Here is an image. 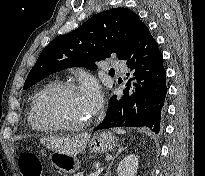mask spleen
<instances>
[{"instance_id":"spleen-1","label":"spleen","mask_w":205,"mask_h":176,"mask_svg":"<svg viewBox=\"0 0 205 176\" xmlns=\"http://www.w3.org/2000/svg\"><path fill=\"white\" fill-rule=\"evenodd\" d=\"M114 131L118 134H124L125 133L124 129H121V128H116V129H114Z\"/></svg>"}]
</instances>
